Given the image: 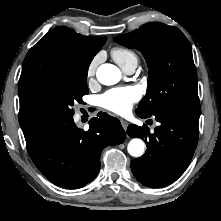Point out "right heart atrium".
Wrapping results in <instances>:
<instances>
[{"label": "right heart atrium", "mask_w": 221, "mask_h": 221, "mask_svg": "<svg viewBox=\"0 0 221 221\" xmlns=\"http://www.w3.org/2000/svg\"><path fill=\"white\" fill-rule=\"evenodd\" d=\"M99 62V56H95L89 63L88 67H87V71H86V75L88 80L93 79L96 69H97V65Z\"/></svg>", "instance_id": "d8ad5b80"}]
</instances>
